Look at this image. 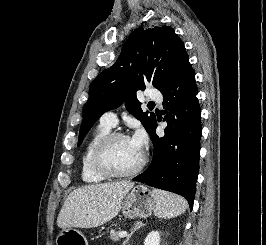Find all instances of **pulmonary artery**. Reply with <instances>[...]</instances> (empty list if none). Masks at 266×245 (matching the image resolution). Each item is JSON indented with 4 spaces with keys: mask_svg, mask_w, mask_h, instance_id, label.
I'll use <instances>...</instances> for the list:
<instances>
[{
    "mask_svg": "<svg viewBox=\"0 0 266 245\" xmlns=\"http://www.w3.org/2000/svg\"><path fill=\"white\" fill-rule=\"evenodd\" d=\"M151 101H159L160 100V92L159 91H150L149 92ZM100 122L109 126H114L117 122V116L114 112L108 111L102 114L100 117Z\"/></svg>",
    "mask_w": 266,
    "mask_h": 245,
    "instance_id": "e3ab8cb5",
    "label": "pulmonary artery"
}]
</instances>
